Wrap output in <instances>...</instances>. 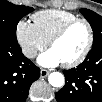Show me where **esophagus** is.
<instances>
[{"instance_id":"esophagus-1","label":"esophagus","mask_w":102,"mask_h":102,"mask_svg":"<svg viewBox=\"0 0 102 102\" xmlns=\"http://www.w3.org/2000/svg\"><path fill=\"white\" fill-rule=\"evenodd\" d=\"M48 74H49V71L48 70H46V69H41V71H40V75H41V77H47L48 76Z\"/></svg>"}]
</instances>
